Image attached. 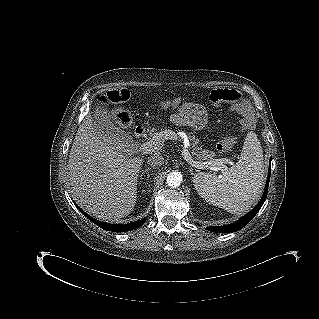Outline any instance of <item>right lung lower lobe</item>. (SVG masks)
Wrapping results in <instances>:
<instances>
[{"mask_svg": "<svg viewBox=\"0 0 319 319\" xmlns=\"http://www.w3.org/2000/svg\"><path fill=\"white\" fill-rule=\"evenodd\" d=\"M77 208L87 217L89 218L94 224L97 226L103 228L104 230L107 231H112V232H123V231H128L135 229L141 225H143L146 221V218H143L139 221H135L129 224H110V223H104L101 221H98L96 219L91 218L89 215H87L83 210H81L78 206Z\"/></svg>", "mask_w": 319, "mask_h": 319, "instance_id": "obj_1", "label": "right lung lower lobe"}]
</instances>
